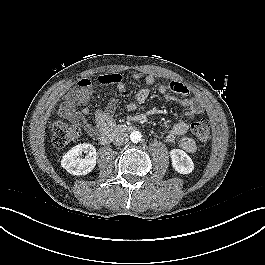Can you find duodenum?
I'll list each match as a JSON object with an SVG mask.
<instances>
[{
    "label": "duodenum",
    "instance_id": "410a0bca",
    "mask_svg": "<svg viewBox=\"0 0 265 265\" xmlns=\"http://www.w3.org/2000/svg\"><path fill=\"white\" fill-rule=\"evenodd\" d=\"M135 128L132 125L128 124H119L115 127H111L102 132L95 133L93 137H96L98 141L102 144L108 143L113 140L115 137L123 134L134 131Z\"/></svg>",
    "mask_w": 265,
    "mask_h": 265
}]
</instances>
